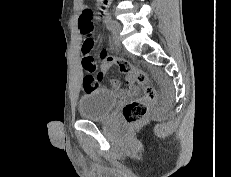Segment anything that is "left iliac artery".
Returning a JSON list of instances; mask_svg holds the SVG:
<instances>
[{
	"label": "left iliac artery",
	"mask_w": 231,
	"mask_h": 177,
	"mask_svg": "<svg viewBox=\"0 0 231 177\" xmlns=\"http://www.w3.org/2000/svg\"><path fill=\"white\" fill-rule=\"evenodd\" d=\"M104 21H105L107 28L110 29L111 24H112V18H111L109 11L107 10L104 12Z\"/></svg>",
	"instance_id": "44dca946"
}]
</instances>
